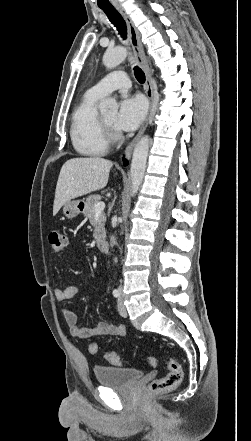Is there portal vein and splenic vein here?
Listing matches in <instances>:
<instances>
[{"label": "portal vein and splenic vein", "mask_w": 251, "mask_h": 441, "mask_svg": "<svg viewBox=\"0 0 251 441\" xmlns=\"http://www.w3.org/2000/svg\"><path fill=\"white\" fill-rule=\"evenodd\" d=\"M104 208H105V203L104 202H97L94 205V209H95L96 212H101V211L104 210Z\"/></svg>", "instance_id": "portal-vein-and-splenic-vein-1"}]
</instances>
